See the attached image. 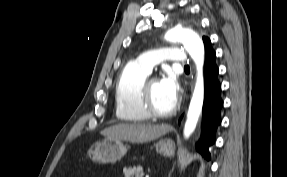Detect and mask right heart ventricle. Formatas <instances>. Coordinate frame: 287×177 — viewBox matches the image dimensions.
<instances>
[{
  "label": "right heart ventricle",
  "mask_w": 287,
  "mask_h": 177,
  "mask_svg": "<svg viewBox=\"0 0 287 177\" xmlns=\"http://www.w3.org/2000/svg\"><path fill=\"white\" fill-rule=\"evenodd\" d=\"M149 72L135 63L122 70L115 85V114L123 123H139L148 119L140 103L142 87Z\"/></svg>",
  "instance_id": "right-heart-ventricle-1"
}]
</instances>
